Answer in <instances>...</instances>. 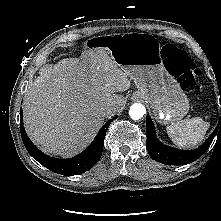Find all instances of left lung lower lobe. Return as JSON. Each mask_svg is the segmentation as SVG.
Listing matches in <instances>:
<instances>
[{
  "label": "left lung lower lobe",
  "mask_w": 221,
  "mask_h": 221,
  "mask_svg": "<svg viewBox=\"0 0 221 221\" xmlns=\"http://www.w3.org/2000/svg\"><path fill=\"white\" fill-rule=\"evenodd\" d=\"M146 128H147V150L149 155L156 161L168 165H185L189 164L200 156H202L209 146L211 145L215 135L221 134V117L217 125V128L211 134V136L206 140V142L195 150H179L166 145L161 144L155 135L154 125L149 115L146 118Z\"/></svg>",
  "instance_id": "0a47b994"
}]
</instances>
